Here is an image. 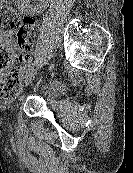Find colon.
<instances>
[{
    "instance_id": "obj_1",
    "label": "colon",
    "mask_w": 133,
    "mask_h": 173,
    "mask_svg": "<svg viewBox=\"0 0 133 173\" xmlns=\"http://www.w3.org/2000/svg\"><path fill=\"white\" fill-rule=\"evenodd\" d=\"M33 20L0 4V101L10 102L20 86L18 63L31 49Z\"/></svg>"
}]
</instances>
